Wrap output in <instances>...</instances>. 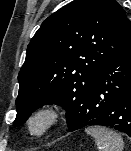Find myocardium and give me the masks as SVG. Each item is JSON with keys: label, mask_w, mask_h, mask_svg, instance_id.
<instances>
[{"label": "myocardium", "mask_w": 131, "mask_h": 151, "mask_svg": "<svg viewBox=\"0 0 131 151\" xmlns=\"http://www.w3.org/2000/svg\"><path fill=\"white\" fill-rule=\"evenodd\" d=\"M63 112L54 104L35 108L26 118L25 130L32 138H42L53 131L62 121Z\"/></svg>", "instance_id": "obj_1"}]
</instances>
